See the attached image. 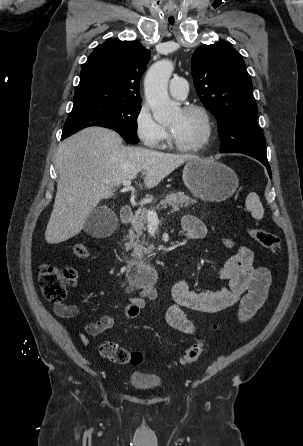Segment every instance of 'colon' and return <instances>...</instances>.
Wrapping results in <instances>:
<instances>
[{"label":"colon","mask_w":303,"mask_h":446,"mask_svg":"<svg viewBox=\"0 0 303 446\" xmlns=\"http://www.w3.org/2000/svg\"><path fill=\"white\" fill-rule=\"evenodd\" d=\"M249 236L262 247L278 253L280 251L279 238L260 228H249ZM73 253L78 258L89 257V249L83 243L73 246ZM77 274L72 268H58L51 264H42L39 268V281L45 298L54 303L62 304L67 296V290L76 282ZM217 326H214L216 328ZM204 351L203 340H197L180 357V364H189L197 361ZM100 355L116 364L130 363L138 365L143 362L144 355L140 351H128L112 341H104L99 346Z\"/></svg>","instance_id":"obj_1"}]
</instances>
